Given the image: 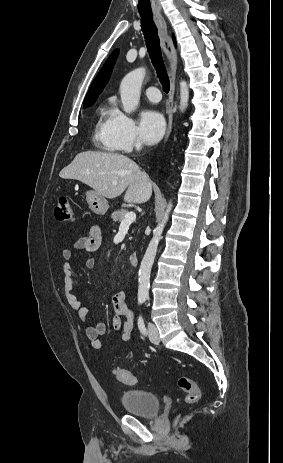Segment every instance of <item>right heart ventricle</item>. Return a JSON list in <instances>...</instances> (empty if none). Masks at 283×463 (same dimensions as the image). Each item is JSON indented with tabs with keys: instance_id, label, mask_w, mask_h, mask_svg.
<instances>
[{
	"instance_id": "e07e8e85",
	"label": "right heart ventricle",
	"mask_w": 283,
	"mask_h": 463,
	"mask_svg": "<svg viewBox=\"0 0 283 463\" xmlns=\"http://www.w3.org/2000/svg\"><path fill=\"white\" fill-rule=\"evenodd\" d=\"M114 109L105 108L101 111L100 118L95 126L94 139L104 150L109 152L117 151L118 145L111 132V119Z\"/></svg>"
}]
</instances>
